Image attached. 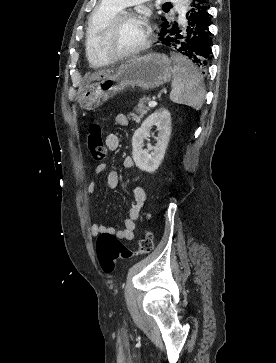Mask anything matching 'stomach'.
Returning a JSON list of instances; mask_svg holds the SVG:
<instances>
[{"label":"stomach","instance_id":"stomach-1","mask_svg":"<svg viewBox=\"0 0 276 363\" xmlns=\"http://www.w3.org/2000/svg\"><path fill=\"white\" fill-rule=\"evenodd\" d=\"M172 75V61L164 54L134 57L88 83L78 102L82 108L94 110L127 87L153 90L169 82Z\"/></svg>","mask_w":276,"mask_h":363}]
</instances>
